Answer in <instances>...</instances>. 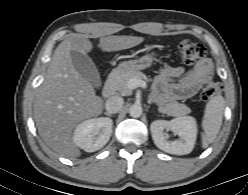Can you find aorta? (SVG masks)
Here are the masks:
<instances>
[{
  "label": "aorta",
  "mask_w": 248,
  "mask_h": 195,
  "mask_svg": "<svg viewBox=\"0 0 248 195\" xmlns=\"http://www.w3.org/2000/svg\"><path fill=\"white\" fill-rule=\"evenodd\" d=\"M129 114L131 117L138 118L142 115V107L141 105L134 104L129 109Z\"/></svg>",
  "instance_id": "762f6f07"
}]
</instances>
